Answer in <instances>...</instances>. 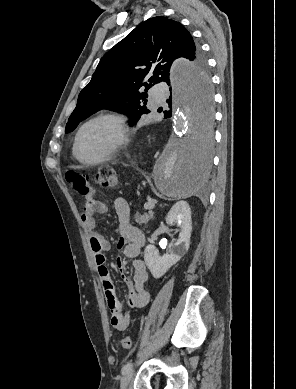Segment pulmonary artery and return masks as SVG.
Segmentation results:
<instances>
[{
    "label": "pulmonary artery",
    "instance_id": "pulmonary-artery-1",
    "mask_svg": "<svg viewBox=\"0 0 296 389\" xmlns=\"http://www.w3.org/2000/svg\"><path fill=\"white\" fill-rule=\"evenodd\" d=\"M151 96L155 105H159L165 101L166 91L163 86L156 85L151 89Z\"/></svg>",
    "mask_w": 296,
    "mask_h": 389
}]
</instances>
